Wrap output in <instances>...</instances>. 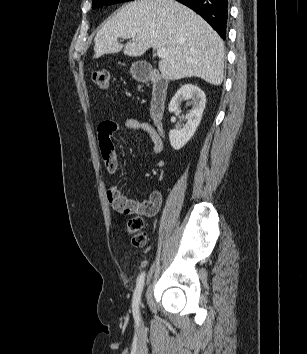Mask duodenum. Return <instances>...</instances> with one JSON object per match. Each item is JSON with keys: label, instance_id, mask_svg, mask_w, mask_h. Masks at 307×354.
Returning <instances> with one entry per match:
<instances>
[{"label": "duodenum", "instance_id": "obj_1", "mask_svg": "<svg viewBox=\"0 0 307 354\" xmlns=\"http://www.w3.org/2000/svg\"><path fill=\"white\" fill-rule=\"evenodd\" d=\"M136 77L139 81L149 82L152 85L149 113L159 132H163V117L168 94V81L157 71L148 67H140L136 72Z\"/></svg>", "mask_w": 307, "mask_h": 354}]
</instances>
